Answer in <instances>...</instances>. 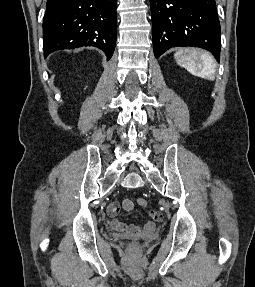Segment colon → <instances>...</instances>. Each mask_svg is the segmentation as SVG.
Segmentation results:
<instances>
[{
  "label": "colon",
  "instance_id": "obj_1",
  "mask_svg": "<svg viewBox=\"0 0 255 287\" xmlns=\"http://www.w3.org/2000/svg\"><path fill=\"white\" fill-rule=\"evenodd\" d=\"M137 202H138V204H139L140 206H146V205H147V201H146L145 199H143V198H139V199L137 200Z\"/></svg>",
  "mask_w": 255,
  "mask_h": 287
}]
</instances>
